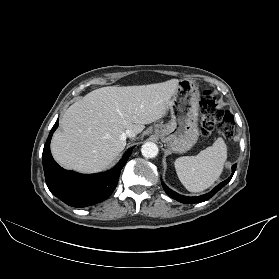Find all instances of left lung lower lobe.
<instances>
[{"mask_svg":"<svg viewBox=\"0 0 279 279\" xmlns=\"http://www.w3.org/2000/svg\"><path fill=\"white\" fill-rule=\"evenodd\" d=\"M236 164L232 166V175L226 179L225 181L221 182L218 186H216L212 192H209L205 195H201V196H197V197H188V196H183L180 195L176 192H174L173 190H171L170 188H168L165 184L162 183L163 188L165 190V192L167 193V195L181 203H185V204H193V203H200V202H204L208 199H210L213 195H215L222 187H224L232 178L235 170H236Z\"/></svg>","mask_w":279,"mask_h":279,"instance_id":"0a47b994","label":"left lung lower lobe"}]
</instances>
